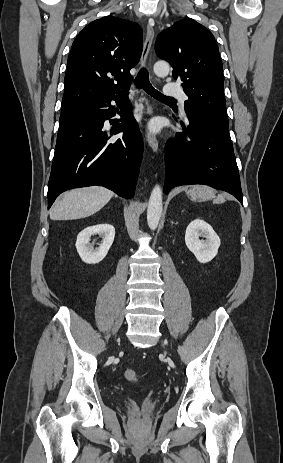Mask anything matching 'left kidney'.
<instances>
[{
    "label": "left kidney",
    "mask_w": 283,
    "mask_h": 463,
    "mask_svg": "<svg viewBox=\"0 0 283 463\" xmlns=\"http://www.w3.org/2000/svg\"><path fill=\"white\" fill-rule=\"evenodd\" d=\"M185 243L200 263H207L217 255L221 240L207 222L195 219L186 228Z\"/></svg>",
    "instance_id": "1"
}]
</instances>
